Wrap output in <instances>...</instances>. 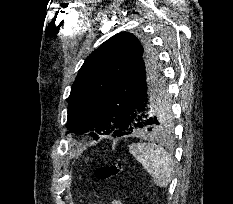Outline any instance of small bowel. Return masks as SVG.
Masks as SVG:
<instances>
[{
	"label": "small bowel",
	"mask_w": 233,
	"mask_h": 204,
	"mask_svg": "<svg viewBox=\"0 0 233 204\" xmlns=\"http://www.w3.org/2000/svg\"><path fill=\"white\" fill-rule=\"evenodd\" d=\"M111 204H122L120 201H118V200H113L112 202H111Z\"/></svg>",
	"instance_id": "obj_1"
}]
</instances>
